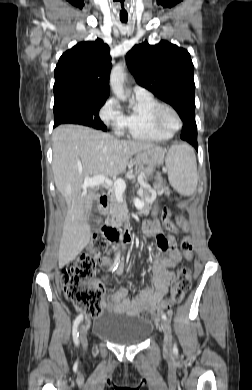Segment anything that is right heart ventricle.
<instances>
[{
    "label": "right heart ventricle",
    "instance_id": "e07e8e85",
    "mask_svg": "<svg viewBox=\"0 0 252 390\" xmlns=\"http://www.w3.org/2000/svg\"><path fill=\"white\" fill-rule=\"evenodd\" d=\"M160 102L151 94L146 97L134 96L127 114L123 117V130L121 134L128 139L142 142H164L172 134L159 131L152 123L151 115Z\"/></svg>",
    "mask_w": 252,
    "mask_h": 390
}]
</instances>
